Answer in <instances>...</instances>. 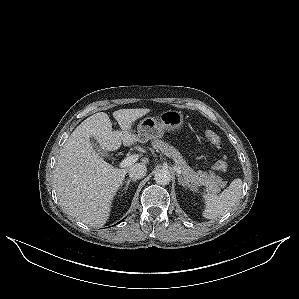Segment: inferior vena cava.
Here are the masks:
<instances>
[{
	"label": "inferior vena cava",
	"mask_w": 299,
	"mask_h": 299,
	"mask_svg": "<svg viewBox=\"0 0 299 299\" xmlns=\"http://www.w3.org/2000/svg\"><path fill=\"white\" fill-rule=\"evenodd\" d=\"M146 172L147 168L143 163L134 164L128 169L129 177L135 180L144 177Z\"/></svg>",
	"instance_id": "602c4592"
}]
</instances>
